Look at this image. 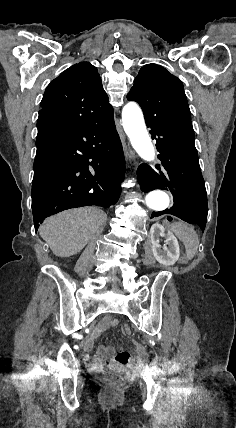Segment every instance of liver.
I'll return each mask as SVG.
<instances>
[{"mask_svg": "<svg viewBox=\"0 0 236 428\" xmlns=\"http://www.w3.org/2000/svg\"><path fill=\"white\" fill-rule=\"evenodd\" d=\"M106 220L99 208H75L44 220L39 234L55 256L69 258L87 246Z\"/></svg>", "mask_w": 236, "mask_h": 428, "instance_id": "liver-1", "label": "liver"}]
</instances>
